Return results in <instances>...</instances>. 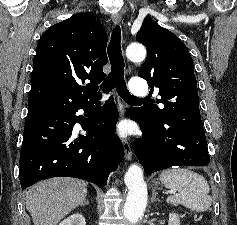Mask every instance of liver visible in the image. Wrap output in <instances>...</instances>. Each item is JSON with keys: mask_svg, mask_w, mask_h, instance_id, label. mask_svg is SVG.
I'll list each match as a JSON object with an SVG mask.
<instances>
[{"mask_svg": "<svg viewBox=\"0 0 237 225\" xmlns=\"http://www.w3.org/2000/svg\"><path fill=\"white\" fill-rule=\"evenodd\" d=\"M87 196V183L74 178H51L30 187L26 193V209L34 225H57Z\"/></svg>", "mask_w": 237, "mask_h": 225, "instance_id": "liver-1", "label": "liver"}]
</instances>
